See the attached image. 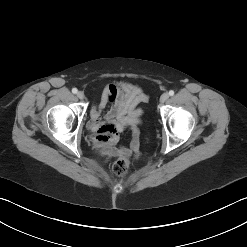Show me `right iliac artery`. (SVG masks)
Returning <instances> with one entry per match:
<instances>
[{"instance_id":"82829eb1","label":"right iliac artery","mask_w":247,"mask_h":247,"mask_svg":"<svg viewBox=\"0 0 247 247\" xmlns=\"http://www.w3.org/2000/svg\"><path fill=\"white\" fill-rule=\"evenodd\" d=\"M78 92V90L76 88L72 89V93L76 94Z\"/></svg>"}]
</instances>
